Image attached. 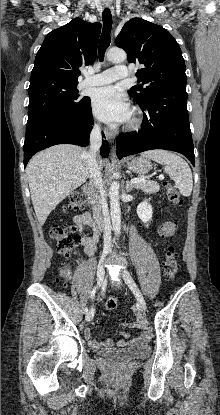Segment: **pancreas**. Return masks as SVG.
I'll return each mask as SVG.
<instances>
[{
  "label": "pancreas",
  "mask_w": 220,
  "mask_h": 415,
  "mask_svg": "<svg viewBox=\"0 0 220 415\" xmlns=\"http://www.w3.org/2000/svg\"><path fill=\"white\" fill-rule=\"evenodd\" d=\"M134 187L137 189H141L142 191L149 193V194L157 193L160 190L159 184L155 181H150V180H145L143 182L135 183Z\"/></svg>",
  "instance_id": "cf45deb5"
}]
</instances>
